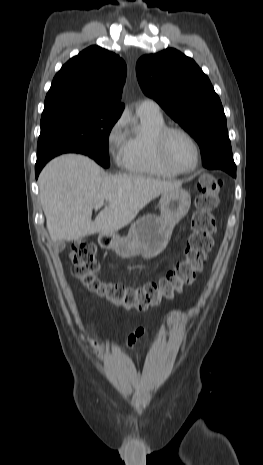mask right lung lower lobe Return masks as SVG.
<instances>
[{
  "mask_svg": "<svg viewBox=\"0 0 263 465\" xmlns=\"http://www.w3.org/2000/svg\"><path fill=\"white\" fill-rule=\"evenodd\" d=\"M44 165H38L36 164L35 166V172H36V177L38 176L39 172L41 171V169L43 168Z\"/></svg>",
  "mask_w": 263,
  "mask_h": 465,
  "instance_id": "98d812e1",
  "label": "right lung lower lobe"
}]
</instances>
